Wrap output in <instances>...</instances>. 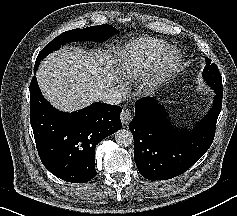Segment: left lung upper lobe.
Wrapping results in <instances>:
<instances>
[{
	"instance_id": "1",
	"label": "left lung upper lobe",
	"mask_w": 237,
	"mask_h": 216,
	"mask_svg": "<svg viewBox=\"0 0 237 216\" xmlns=\"http://www.w3.org/2000/svg\"><path fill=\"white\" fill-rule=\"evenodd\" d=\"M204 80L215 91H222L221 74L214 63H211L209 58H206V66L203 71Z\"/></svg>"
}]
</instances>
